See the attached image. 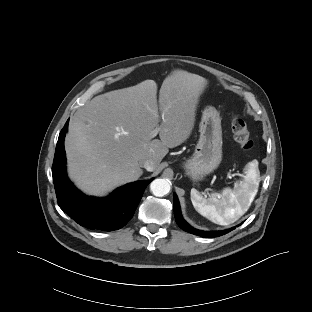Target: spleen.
I'll return each instance as SVG.
<instances>
[{"label":"spleen","instance_id":"1","mask_svg":"<svg viewBox=\"0 0 312 312\" xmlns=\"http://www.w3.org/2000/svg\"><path fill=\"white\" fill-rule=\"evenodd\" d=\"M256 165L250 168L245 182L234 189L225 188L221 194H212L209 199L196 190H191V201L198 213L219 225L237 221L249 209L258 188Z\"/></svg>","mask_w":312,"mask_h":312}]
</instances>
